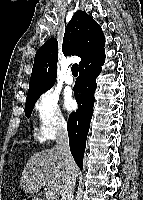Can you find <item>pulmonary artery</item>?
Here are the masks:
<instances>
[{
    "label": "pulmonary artery",
    "instance_id": "e3ab8cb5",
    "mask_svg": "<svg viewBox=\"0 0 143 200\" xmlns=\"http://www.w3.org/2000/svg\"><path fill=\"white\" fill-rule=\"evenodd\" d=\"M64 82H65L66 84H69V85H71V84L74 83V78H73V76L71 75L70 70H67V72H66V74H65V76H64Z\"/></svg>",
    "mask_w": 143,
    "mask_h": 200
}]
</instances>
